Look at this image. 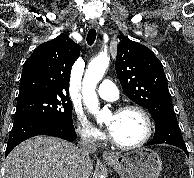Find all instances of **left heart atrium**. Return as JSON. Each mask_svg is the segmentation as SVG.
<instances>
[{"label":"left heart atrium","instance_id":"1","mask_svg":"<svg viewBox=\"0 0 194 178\" xmlns=\"http://www.w3.org/2000/svg\"><path fill=\"white\" fill-rule=\"evenodd\" d=\"M108 129L111 131V129H112V126H111V125H108Z\"/></svg>","mask_w":194,"mask_h":178}]
</instances>
